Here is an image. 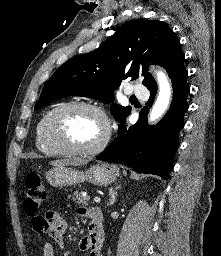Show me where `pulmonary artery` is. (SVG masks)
<instances>
[{"label":"pulmonary artery","instance_id":"obj_1","mask_svg":"<svg viewBox=\"0 0 221 256\" xmlns=\"http://www.w3.org/2000/svg\"><path fill=\"white\" fill-rule=\"evenodd\" d=\"M130 93L134 94L140 98H146L149 94L148 89L143 86L142 84H135L132 88Z\"/></svg>","mask_w":221,"mask_h":256}]
</instances>
